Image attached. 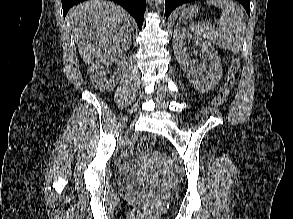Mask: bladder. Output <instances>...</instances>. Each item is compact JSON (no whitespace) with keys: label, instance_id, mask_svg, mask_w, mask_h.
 <instances>
[{"label":"bladder","instance_id":"31cf9c89","mask_svg":"<svg viewBox=\"0 0 293 219\" xmlns=\"http://www.w3.org/2000/svg\"><path fill=\"white\" fill-rule=\"evenodd\" d=\"M144 156H149V153L145 152ZM121 186L125 188H137V187H147L153 190L159 197L166 198L169 195V191L149 180H143L136 177H123L120 179Z\"/></svg>","mask_w":293,"mask_h":219}]
</instances>
